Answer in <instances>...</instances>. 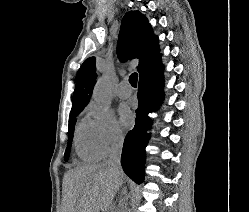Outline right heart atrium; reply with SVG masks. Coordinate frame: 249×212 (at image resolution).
<instances>
[{
    "instance_id": "obj_1",
    "label": "right heart atrium",
    "mask_w": 249,
    "mask_h": 212,
    "mask_svg": "<svg viewBox=\"0 0 249 212\" xmlns=\"http://www.w3.org/2000/svg\"><path fill=\"white\" fill-rule=\"evenodd\" d=\"M85 113L92 126V139L98 159L109 158L122 147L124 142V136L113 114L101 110L93 102L86 106Z\"/></svg>"
}]
</instances>
